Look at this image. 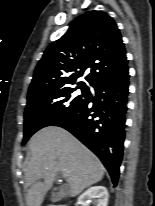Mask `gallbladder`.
Here are the masks:
<instances>
[{
  "instance_id": "bac80fb5",
  "label": "gallbladder",
  "mask_w": 155,
  "mask_h": 206,
  "mask_svg": "<svg viewBox=\"0 0 155 206\" xmlns=\"http://www.w3.org/2000/svg\"><path fill=\"white\" fill-rule=\"evenodd\" d=\"M64 197H65L64 191H59V192H53L50 199L52 202H58L62 200Z\"/></svg>"
}]
</instances>
